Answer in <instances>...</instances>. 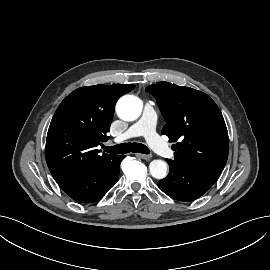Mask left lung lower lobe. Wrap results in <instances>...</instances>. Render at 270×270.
<instances>
[{"label": "left lung lower lobe", "mask_w": 270, "mask_h": 270, "mask_svg": "<svg viewBox=\"0 0 270 270\" xmlns=\"http://www.w3.org/2000/svg\"><path fill=\"white\" fill-rule=\"evenodd\" d=\"M169 174L158 182V187L173 199L190 201L202 196L219 178L210 170L186 166L166 159Z\"/></svg>", "instance_id": "0a47b994"}]
</instances>
